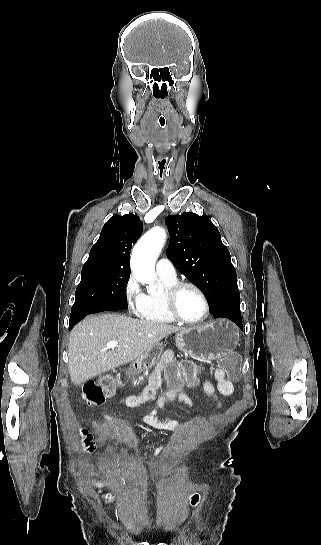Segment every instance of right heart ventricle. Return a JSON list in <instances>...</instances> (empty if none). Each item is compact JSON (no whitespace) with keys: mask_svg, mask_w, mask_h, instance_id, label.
<instances>
[{"mask_svg":"<svg viewBox=\"0 0 321 545\" xmlns=\"http://www.w3.org/2000/svg\"><path fill=\"white\" fill-rule=\"evenodd\" d=\"M160 280L162 287L170 286L177 282L176 278L168 279L161 276ZM140 317L143 321L150 324H168L173 322L165 311L160 297L147 296L146 305Z\"/></svg>","mask_w":321,"mask_h":545,"instance_id":"obj_1","label":"right heart ventricle"}]
</instances>
